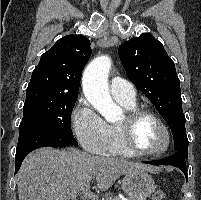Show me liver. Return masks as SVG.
<instances>
[{
  "instance_id": "6515ba94",
  "label": "liver",
  "mask_w": 201,
  "mask_h": 200,
  "mask_svg": "<svg viewBox=\"0 0 201 200\" xmlns=\"http://www.w3.org/2000/svg\"><path fill=\"white\" fill-rule=\"evenodd\" d=\"M150 170L143 164L74 148L43 147L23 161L18 173L19 200H76L92 179L99 190L106 191L123 174Z\"/></svg>"
}]
</instances>
